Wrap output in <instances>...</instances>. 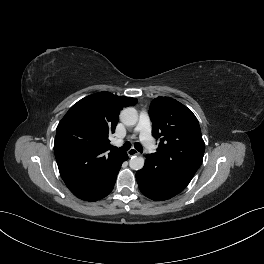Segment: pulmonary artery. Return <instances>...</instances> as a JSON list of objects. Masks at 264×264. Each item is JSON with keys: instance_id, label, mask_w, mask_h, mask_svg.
Instances as JSON below:
<instances>
[{"instance_id": "obj_1", "label": "pulmonary artery", "mask_w": 264, "mask_h": 264, "mask_svg": "<svg viewBox=\"0 0 264 264\" xmlns=\"http://www.w3.org/2000/svg\"><path fill=\"white\" fill-rule=\"evenodd\" d=\"M135 132L139 133L140 140L148 151L153 152L155 144L150 131V118L146 111H142L140 113L138 124L135 127Z\"/></svg>"}]
</instances>
